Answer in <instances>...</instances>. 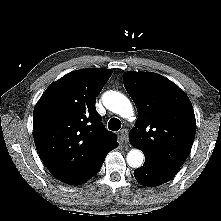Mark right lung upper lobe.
I'll return each instance as SVG.
<instances>
[{"label": "right lung upper lobe", "instance_id": "1", "mask_svg": "<svg viewBox=\"0 0 221 221\" xmlns=\"http://www.w3.org/2000/svg\"><path fill=\"white\" fill-rule=\"evenodd\" d=\"M108 69H81L52 83L33 112L36 149L49 171L70 183L101 156L117 147L95 108L96 97L111 77Z\"/></svg>", "mask_w": 221, "mask_h": 221}]
</instances>
